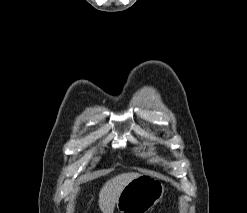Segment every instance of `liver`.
<instances>
[{"label": "liver", "instance_id": "liver-1", "mask_svg": "<svg viewBox=\"0 0 247 213\" xmlns=\"http://www.w3.org/2000/svg\"><path fill=\"white\" fill-rule=\"evenodd\" d=\"M141 176L139 173H123L108 180L99 193V207L103 213H113L117 199L124 187Z\"/></svg>", "mask_w": 247, "mask_h": 213}]
</instances>
